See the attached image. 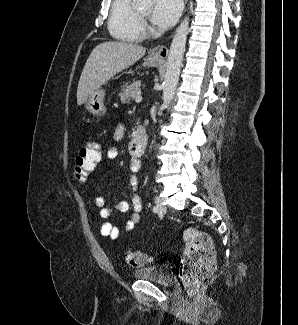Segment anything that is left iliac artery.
Returning <instances> with one entry per match:
<instances>
[{
  "instance_id": "44dca946",
  "label": "left iliac artery",
  "mask_w": 298,
  "mask_h": 325,
  "mask_svg": "<svg viewBox=\"0 0 298 325\" xmlns=\"http://www.w3.org/2000/svg\"><path fill=\"white\" fill-rule=\"evenodd\" d=\"M152 210H153V212H158V208H157V206H154V207L152 208Z\"/></svg>"
}]
</instances>
